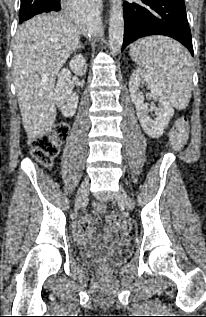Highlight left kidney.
Wrapping results in <instances>:
<instances>
[{
  "mask_svg": "<svg viewBox=\"0 0 206 317\" xmlns=\"http://www.w3.org/2000/svg\"><path fill=\"white\" fill-rule=\"evenodd\" d=\"M141 84H144L150 90L149 96L152 99L151 104L144 103V95L140 91ZM129 91L132 102L136 106L137 117L145 133L152 138L162 136L164 129L168 126L170 118L174 114V109L170 102L159 90L152 77L142 69H135L130 77ZM154 102H158L156 106ZM155 111V118H151L149 113Z\"/></svg>",
  "mask_w": 206,
  "mask_h": 317,
  "instance_id": "obj_1",
  "label": "left kidney"
}]
</instances>
